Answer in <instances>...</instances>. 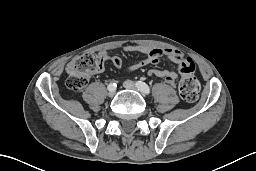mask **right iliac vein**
I'll list each match as a JSON object with an SVG mask.
<instances>
[{
    "mask_svg": "<svg viewBox=\"0 0 256 171\" xmlns=\"http://www.w3.org/2000/svg\"><path fill=\"white\" fill-rule=\"evenodd\" d=\"M116 93V90L115 89H110L109 92H108V96L109 97H113Z\"/></svg>",
    "mask_w": 256,
    "mask_h": 171,
    "instance_id": "obj_1",
    "label": "right iliac vein"
}]
</instances>
